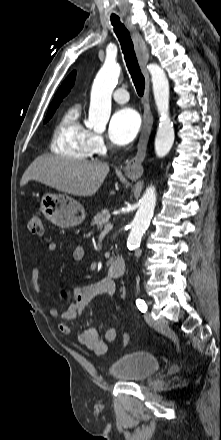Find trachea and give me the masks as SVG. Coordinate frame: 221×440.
<instances>
[{"mask_svg": "<svg viewBox=\"0 0 221 440\" xmlns=\"http://www.w3.org/2000/svg\"><path fill=\"white\" fill-rule=\"evenodd\" d=\"M111 23L114 27V32L117 35L121 44L126 65L133 80L136 91L138 95L142 97L145 89V79L140 71L129 31L125 28V26L120 22L119 18L117 17H112Z\"/></svg>", "mask_w": 221, "mask_h": 440, "instance_id": "obj_1", "label": "trachea"}]
</instances>
